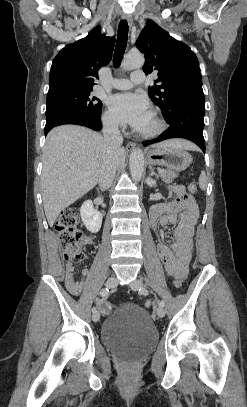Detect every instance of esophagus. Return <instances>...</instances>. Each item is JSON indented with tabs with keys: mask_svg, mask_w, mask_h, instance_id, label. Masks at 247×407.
I'll return each mask as SVG.
<instances>
[{
	"mask_svg": "<svg viewBox=\"0 0 247 407\" xmlns=\"http://www.w3.org/2000/svg\"><path fill=\"white\" fill-rule=\"evenodd\" d=\"M122 19H123V20H126V21L128 22V24H129L130 26H132L133 20H132V17H131L130 15H128V14H123V15H122ZM135 147H136V144H135L134 142H128V143L126 144V149H127V150H132V149H134Z\"/></svg>",
	"mask_w": 247,
	"mask_h": 407,
	"instance_id": "1",
	"label": "esophagus"
}]
</instances>
